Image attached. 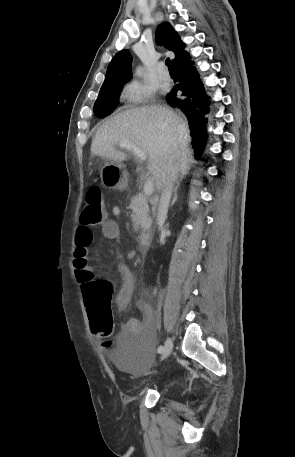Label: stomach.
Segmentation results:
<instances>
[{"mask_svg":"<svg viewBox=\"0 0 295 457\" xmlns=\"http://www.w3.org/2000/svg\"><path fill=\"white\" fill-rule=\"evenodd\" d=\"M102 183L109 189L124 190L128 185L127 171L121 162L106 160L101 168Z\"/></svg>","mask_w":295,"mask_h":457,"instance_id":"1","label":"stomach"}]
</instances>
